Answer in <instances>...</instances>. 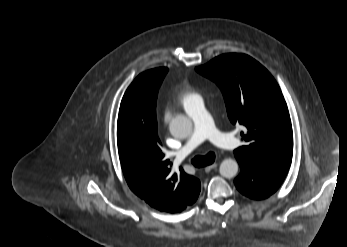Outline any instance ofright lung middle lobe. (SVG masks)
Masks as SVG:
<instances>
[{
    "label": "right lung middle lobe",
    "mask_w": 347,
    "mask_h": 247,
    "mask_svg": "<svg viewBox=\"0 0 347 247\" xmlns=\"http://www.w3.org/2000/svg\"><path fill=\"white\" fill-rule=\"evenodd\" d=\"M168 69L167 68H156L149 70L148 73L150 74V77H152L154 80L157 81V89L159 88L163 78L165 77Z\"/></svg>",
    "instance_id": "right-lung-middle-lobe-1"
}]
</instances>
